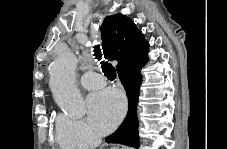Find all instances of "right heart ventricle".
Instances as JSON below:
<instances>
[{"instance_id":"right-heart-ventricle-1","label":"right heart ventricle","mask_w":227,"mask_h":149,"mask_svg":"<svg viewBox=\"0 0 227 149\" xmlns=\"http://www.w3.org/2000/svg\"><path fill=\"white\" fill-rule=\"evenodd\" d=\"M56 138H57V140L60 142V140H59L58 128H57V123H56ZM60 144H62V143L60 142ZM62 145H63V144H62Z\"/></svg>"}]
</instances>
